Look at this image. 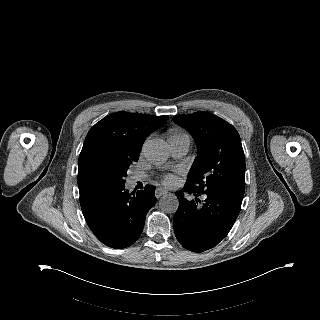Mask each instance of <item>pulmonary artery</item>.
<instances>
[{"instance_id":"obj_1","label":"pulmonary artery","mask_w":320,"mask_h":320,"mask_svg":"<svg viewBox=\"0 0 320 320\" xmlns=\"http://www.w3.org/2000/svg\"><path fill=\"white\" fill-rule=\"evenodd\" d=\"M172 156L174 158L184 157L191 145V140L189 136H171L169 139ZM147 178L144 173H136L130 176V184H135L139 181H143Z\"/></svg>"}]
</instances>
